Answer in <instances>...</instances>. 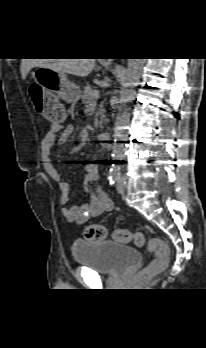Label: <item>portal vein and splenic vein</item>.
Returning <instances> with one entry per match:
<instances>
[{
  "mask_svg": "<svg viewBox=\"0 0 206 348\" xmlns=\"http://www.w3.org/2000/svg\"><path fill=\"white\" fill-rule=\"evenodd\" d=\"M99 96H100L99 90H93V91L91 92V97H92V98L98 99Z\"/></svg>",
  "mask_w": 206,
  "mask_h": 348,
  "instance_id": "18ae733b",
  "label": "portal vein and splenic vein"
}]
</instances>
